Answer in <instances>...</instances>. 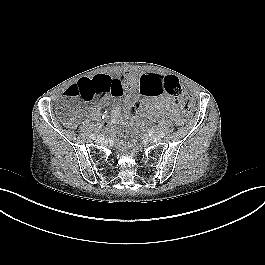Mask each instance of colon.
Segmentation results:
<instances>
[{
    "label": "colon",
    "mask_w": 265,
    "mask_h": 265,
    "mask_svg": "<svg viewBox=\"0 0 265 265\" xmlns=\"http://www.w3.org/2000/svg\"><path fill=\"white\" fill-rule=\"evenodd\" d=\"M105 79H81L77 83L71 85L65 92L67 99L80 97L86 101L93 100L97 97H105L110 94V89ZM163 92L176 98L177 105L184 114H189L193 108V98L189 94L183 92L179 80L173 75H167L163 78L162 82ZM141 109L140 102L133 104L127 114V122L131 124L134 116ZM76 118H68V124L70 126L76 125Z\"/></svg>",
    "instance_id": "obj_1"
}]
</instances>
